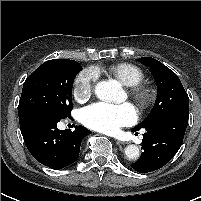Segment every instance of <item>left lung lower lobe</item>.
<instances>
[{
	"mask_svg": "<svg viewBox=\"0 0 201 201\" xmlns=\"http://www.w3.org/2000/svg\"><path fill=\"white\" fill-rule=\"evenodd\" d=\"M188 118V114L171 113L144 126L146 133L142 140L143 152L131 167L137 172L147 173L167 164L182 145Z\"/></svg>",
	"mask_w": 201,
	"mask_h": 201,
	"instance_id": "1",
	"label": "left lung lower lobe"
}]
</instances>
